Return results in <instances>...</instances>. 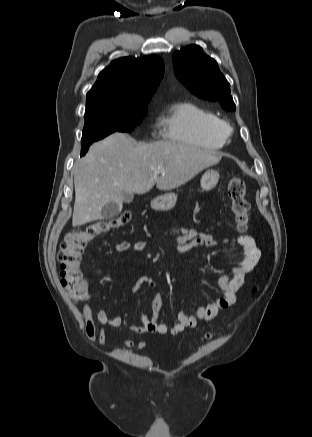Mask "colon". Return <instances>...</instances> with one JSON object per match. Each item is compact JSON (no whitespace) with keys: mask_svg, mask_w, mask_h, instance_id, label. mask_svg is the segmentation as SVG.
I'll return each mask as SVG.
<instances>
[{"mask_svg":"<svg viewBox=\"0 0 312 437\" xmlns=\"http://www.w3.org/2000/svg\"><path fill=\"white\" fill-rule=\"evenodd\" d=\"M227 195L236 230L245 233L250 222V206L246 199L245 182L241 177L233 176L228 180ZM130 218V212L125 211L112 219L93 222L84 229L73 231L61 243L57 255L61 283L72 302H84L89 297L88 286L81 271L82 253L87 244L106 232L122 227Z\"/></svg>","mask_w":312,"mask_h":437,"instance_id":"1","label":"colon"}]
</instances>
